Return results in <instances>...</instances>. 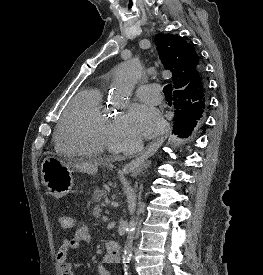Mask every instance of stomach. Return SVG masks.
Wrapping results in <instances>:
<instances>
[{
	"instance_id": "stomach-1",
	"label": "stomach",
	"mask_w": 263,
	"mask_h": 275,
	"mask_svg": "<svg viewBox=\"0 0 263 275\" xmlns=\"http://www.w3.org/2000/svg\"><path fill=\"white\" fill-rule=\"evenodd\" d=\"M74 167L56 157H47L41 164V178L49 194L62 198L72 191Z\"/></svg>"
}]
</instances>
